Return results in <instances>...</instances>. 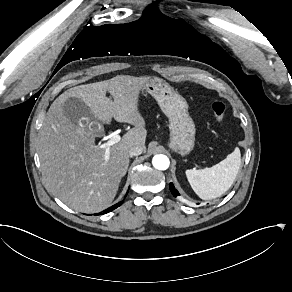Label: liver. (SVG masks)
I'll list each match as a JSON object with an SVG mask.
<instances>
[{"instance_id":"6515ba94","label":"liver","mask_w":292,"mask_h":292,"mask_svg":"<svg viewBox=\"0 0 292 292\" xmlns=\"http://www.w3.org/2000/svg\"><path fill=\"white\" fill-rule=\"evenodd\" d=\"M150 80L121 75L76 86L64 91L50 106L39 131V158L48 190L68 207L84 213L107 208L126 174L131 148L141 146L146 152V120L140 97ZM69 97L80 98L107 126L114 118L135 127L111 146L107 166L105 149L96 145L95 135L72 124L65 115L63 105Z\"/></svg>"}]
</instances>
